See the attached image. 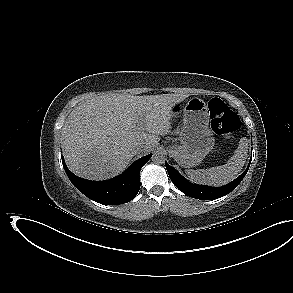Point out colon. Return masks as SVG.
<instances>
[{"label":"colon","instance_id":"colon-1","mask_svg":"<svg viewBox=\"0 0 293 293\" xmlns=\"http://www.w3.org/2000/svg\"><path fill=\"white\" fill-rule=\"evenodd\" d=\"M208 110L211 117V127L217 134L229 138L240 128V118L221 99H210Z\"/></svg>","mask_w":293,"mask_h":293}]
</instances>
